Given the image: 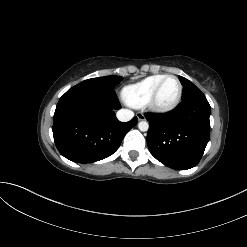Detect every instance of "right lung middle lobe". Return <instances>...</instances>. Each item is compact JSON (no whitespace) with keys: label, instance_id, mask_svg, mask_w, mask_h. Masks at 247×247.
I'll list each match as a JSON object with an SVG mask.
<instances>
[{"label":"right lung middle lobe","instance_id":"obj_1","mask_svg":"<svg viewBox=\"0 0 247 247\" xmlns=\"http://www.w3.org/2000/svg\"><path fill=\"white\" fill-rule=\"evenodd\" d=\"M121 80H122L121 76H106V77L88 79L79 83V85H94V86L108 87L113 89L114 86L118 84Z\"/></svg>","mask_w":247,"mask_h":247}]
</instances>
